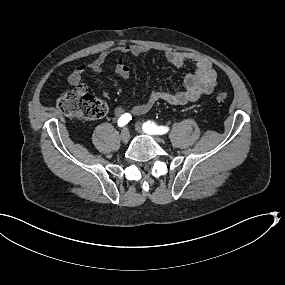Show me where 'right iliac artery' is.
<instances>
[{"mask_svg": "<svg viewBox=\"0 0 285 285\" xmlns=\"http://www.w3.org/2000/svg\"><path fill=\"white\" fill-rule=\"evenodd\" d=\"M132 119L129 113L123 114L118 120V126L123 127Z\"/></svg>", "mask_w": 285, "mask_h": 285, "instance_id": "right-iliac-artery-1", "label": "right iliac artery"}]
</instances>
